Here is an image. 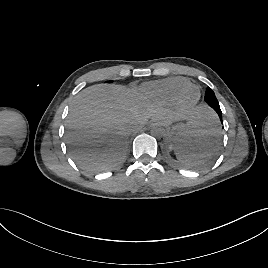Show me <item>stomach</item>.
Listing matches in <instances>:
<instances>
[{
  "instance_id": "stomach-1",
  "label": "stomach",
  "mask_w": 268,
  "mask_h": 268,
  "mask_svg": "<svg viewBox=\"0 0 268 268\" xmlns=\"http://www.w3.org/2000/svg\"><path fill=\"white\" fill-rule=\"evenodd\" d=\"M191 131L192 124L185 123L180 119L175 120L170 126L166 125V133L174 149L187 147L189 145L188 140L192 135Z\"/></svg>"
}]
</instances>
